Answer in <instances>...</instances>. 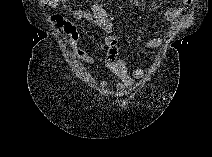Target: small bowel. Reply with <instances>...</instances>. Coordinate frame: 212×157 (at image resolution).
Returning <instances> with one entry per match:
<instances>
[{"label":"small bowel","instance_id":"c3829d8e","mask_svg":"<svg viewBox=\"0 0 212 157\" xmlns=\"http://www.w3.org/2000/svg\"><path fill=\"white\" fill-rule=\"evenodd\" d=\"M139 2L135 1V4ZM43 6L67 10L71 17L75 20H86L101 28L106 36L103 40L97 42L99 49L103 52V64L107 70L119 78L118 89L124 90L131 87L137 80L144 78L145 69L136 67L129 69L126 62L119 58L120 44L118 38L113 34V23L105 11L99 5H92L87 10L72 9L68 6L66 0H43ZM188 14V7H172L165 12V18L172 24H181ZM51 25L62 29L69 38L70 47L79 59L88 63H95L96 60L78 48L77 43L80 39V33L77 27L61 14H52L50 16ZM163 40L161 38H152L142 43V47L146 49H155L161 46ZM108 86L107 80L98 83V87L105 89Z\"/></svg>","mask_w":212,"mask_h":157}]
</instances>
